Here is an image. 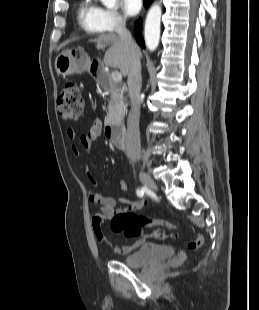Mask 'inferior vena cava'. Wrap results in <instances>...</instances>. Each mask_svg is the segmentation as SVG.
I'll use <instances>...</instances> for the list:
<instances>
[{
  "instance_id": "obj_1",
  "label": "inferior vena cava",
  "mask_w": 259,
  "mask_h": 310,
  "mask_svg": "<svg viewBox=\"0 0 259 310\" xmlns=\"http://www.w3.org/2000/svg\"><path fill=\"white\" fill-rule=\"evenodd\" d=\"M116 32L121 41L130 51V67L128 72V90L131 99V110L128 121V137L131 141V157L133 160H139L140 150V90H141V62L137 53L138 47L133 41L131 33L126 28L124 19H119L116 25Z\"/></svg>"
}]
</instances>
